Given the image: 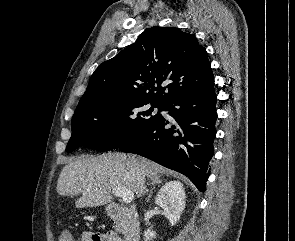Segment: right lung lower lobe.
<instances>
[{
  "instance_id": "98d812e1",
  "label": "right lung lower lobe",
  "mask_w": 295,
  "mask_h": 241,
  "mask_svg": "<svg viewBox=\"0 0 295 241\" xmlns=\"http://www.w3.org/2000/svg\"><path fill=\"white\" fill-rule=\"evenodd\" d=\"M216 101L214 80L179 94L160 109L168 112L170 120L159 114L118 148L186 175L203 192L210 173L208 164L214 155Z\"/></svg>"
}]
</instances>
